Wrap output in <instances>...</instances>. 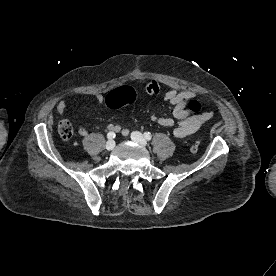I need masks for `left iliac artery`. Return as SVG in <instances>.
Returning a JSON list of instances; mask_svg holds the SVG:
<instances>
[{
  "mask_svg": "<svg viewBox=\"0 0 276 276\" xmlns=\"http://www.w3.org/2000/svg\"><path fill=\"white\" fill-rule=\"evenodd\" d=\"M144 137H145L147 140H151L152 135H151L150 132H145V133H144Z\"/></svg>",
  "mask_w": 276,
  "mask_h": 276,
  "instance_id": "44dca946",
  "label": "left iliac artery"
}]
</instances>
